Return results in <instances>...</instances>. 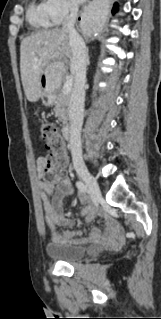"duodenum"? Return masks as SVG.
Segmentation results:
<instances>
[{
    "label": "duodenum",
    "instance_id": "obj_1",
    "mask_svg": "<svg viewBox=\"0 0 161 319\" xmlns=\"http://www.w3.org/2000/svg\"><path fill=\"white\" fill-rule=\"evenodd\" d=\"M63 135L68 144L71 143L72 141V131H71V126L68 123H65L63 125Z\"/></svg>",
    "mask_w": 161,
    "mask_h": 319
}]
</instances>
